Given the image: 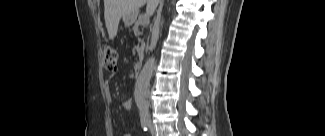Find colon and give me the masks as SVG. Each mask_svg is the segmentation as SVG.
I'll list each match as a JSON object with an SVG mask.
<instances>
[{"instance_id":"1","label":"colon","mask_w":325,"mask_h":136,"mask_svg":"<svg viewBox=\"0 0 325 136\" xmlns=\"http://www.w3.org/2000/svg\"><path fill=\"white\" fill-rule=\"evenodd\" d=\"M104 67L110 72H115L118 65L117 49L111 45H106L103 49Z\"/></svg>"}]
</instances>
